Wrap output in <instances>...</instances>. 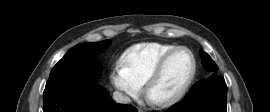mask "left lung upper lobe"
Wrapping results in <instances>:
<instances>
[{"label":"left lung upper lobe","mask_w":270,"mask_h":112,"mask_svg":"<svg viewBox=\"0 0 270 112\" xmlns=\"http://www.w3.org/2000/svg\"><path fill=\"white\" fill-rule=\"evenodd\" d=\"M201 59H202V63L204 68L209 71L212 72L213 75L208 78V79H202L200 81H198L193 88L191 89L190 92H194L196 90H198L201 86H203L205 83H207L209 80L217 77L216 75V71L218 70V66L216 65V63L211 59V57L205 53V52H201Z\"/></svg>","instance_id":"1"}]
</instances>
